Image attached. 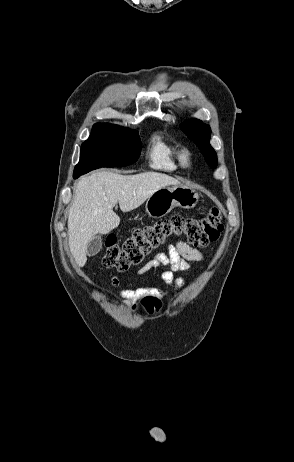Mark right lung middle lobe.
<instances>
[{
    "instance_id": "dd1d6c3e",
    "label": "right lung middle lobe",
    "mask_w": 294,
    "mask_h": 462,
    "mask_svg": "<svg viewBox=\"0 0 294 462\" xmlns=\"http://www.w3.org/2000/svg\"><path fill=\"white\" fill-rule=\"evenodd\" d=\"M141 150L138 133L112 124L97 123L93 126L88 140L81 146L79 163L73 176L91 171L94 159L100 154H110L115 158L116 166H126L137 161Z\"/></svg>"
}]
</instances>
